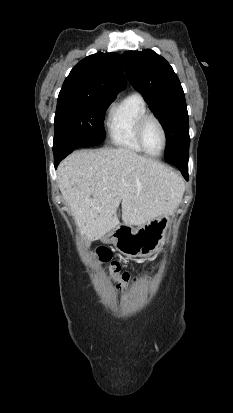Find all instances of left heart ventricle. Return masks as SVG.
Returning a JSON list of instances; mask_svg holds the SVG:
<instances>
[{"label": "left heart ventricle", "instance_id": "obj_1", "mask_svg": "<svg viewBox=\"0 0 233 413\" xmlns=\"http://www.w3.org/2000/svg\"><path fill=\"white\" fill-rule=\"evenodd\" d=\"M143 139L146 148L151 153H158L163 144L162 132L154 120H149L143 131Z\"/></svg>", "mask_w": 233, "mask_h": 413}]
</instances>
